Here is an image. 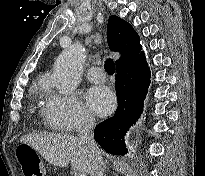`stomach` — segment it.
Wrapping results in <instances>:
<instances>
[{
    "instance_id": "stomach-1",
    "label": "stomach",
    "mask_w": 205,
    "mask_h": 176,
    "mask_svg": "<svg viewBox=\"0 0 205 176\" xmlns=\"http://www.w3.org/2000/svg\"><path fill=\"white\" fill-rule=\"evenodd\" d=\"M22 145H25V146H22L21 149L27 150L28 152L33 151L36 153V151L33 148H31L30 146H28L27 144H22Z\"/></svg>"
}]
</instances>
